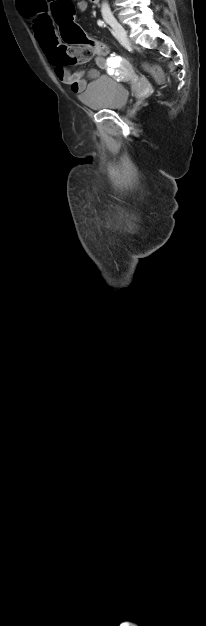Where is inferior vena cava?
<instances>
[{
  "mask_svg": "<svg viewBox=\"0 0 206 626\" xmlns=\"http://www.w3.org/2000/svg\"><path fill=\"white\" fill-rule=\"evenodd\" d=\"M101 12H102V15H104V16H106V15H108V16H112V13H111L110 7H109V5H108V3H107V2H103V3H102V6H101Z\"/></svg>",
  "mask_w": 206,
  "mask_h": 626,
  "instance_id": "602c4592",
  "label": "inferior vena cava"
}]
</instances>
